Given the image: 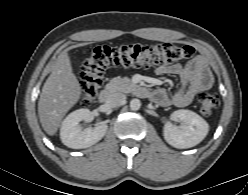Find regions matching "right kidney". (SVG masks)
<instances>
[{
	"label": "right kidney",
	"instance_id": "ca27d5eb",
	"mask_svg": "<svg viewBox=\"0 0 248 195\" xmlns=\"http://www.w3.org/2000/svg\"><path fill=\"white\" fill-rule=\"evenodd\" d=\"M92 113L88 109H78L70 113L62 122L60 138L64 145L73 149L88 148L99 142L106 134L108 126L101 124L94 128L81 129L79 122H91Z\"/></svg>",
	"mask_w": 248,
	"mask_h": 195
}]
</instances>
